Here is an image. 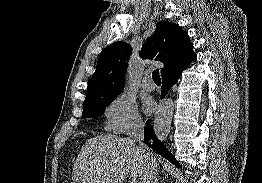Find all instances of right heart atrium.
I'll return each instance as SVG.
<instances>
[{"instance_id": "right-heart-atrium-1", "label": "right heart atrium", "mask_w": 262, "mask_h": 183, "mask_svg": "<svg viewBox=\"0 0 262 183\" xmlns=\"http://www.w3.org/2000/svg\"><path fill=\"white\" fill-rule=\"evenodd\" d=\"M105 129L115 134L140 130L144 123L136 102L126 94L115 96L105 107Z\"/></svg>"}]
</instances>
